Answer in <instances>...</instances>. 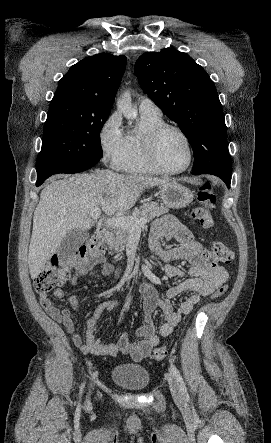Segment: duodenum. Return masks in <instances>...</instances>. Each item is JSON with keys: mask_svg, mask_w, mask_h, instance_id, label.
<instances>
[{"mask_svg": "<svg viewBox=\"0 0 271 443\" xmlns=\"http://www.w3.org/2000/svg\"><path fill=\"white\" fill-rule=\"evenodd\" d=\"M97 238L101 241H109L112 238V234L108 230H99L96 234Z\"/></svg>", "mask_w": 271, "mask_h": 443, "instance_id": "1", "label": "duodenum"}]
</instances>
